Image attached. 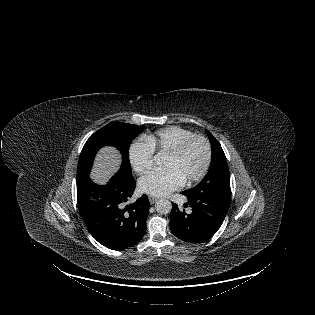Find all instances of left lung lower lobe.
<instances>
[{
	"mask_svg": "<svg viewBox=\"0 0 315 315\" xmlns=\"http://www.w3.org/2000/svg\"><path fill=\"white\" fill-rule=\"evenodd\" d=\"M192 212L180 211L176 204L170 213L171 232L189 243H202L211 238L222 225L230 198L208 191H184Z\"/></svg>",
	"mask_w": 315,
	"mask_h": 315,
	"instance_id": "1",
	"label": "left lung lower lobe"
}]
</instances>
